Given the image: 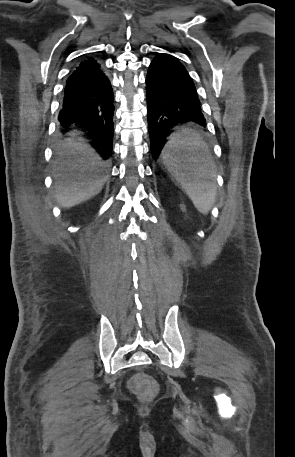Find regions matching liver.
Masks as SVG:
<instances>
[{"label": "liver", "mask_w": 295, "mask_h": 457, "mask_svg": "<svg viewBox=\"0 0 295 457\" xmlns=\"http://www.w3.org/2000/svg\"><path fill=\"white\" fill-rule=\"evenodd\" d=\"M70 155L71 159H67ZM100 157L88 145L70 142L66 150L60 152L55 162V198L63 208H71L103 188L105 178L95 172L102 163Z\"/></svg>", "instance_id": "1"}]
</instances>
